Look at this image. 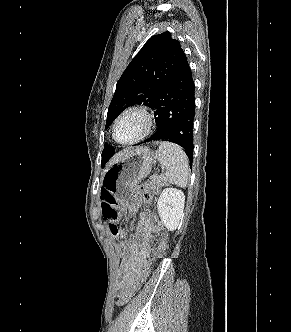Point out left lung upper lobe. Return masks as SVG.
<instances>
[{
	"label": "left lung upper lobe",
	"mask_w": 291,
	"mask_h": 332,
	"mask_svg": "<svg viewBox=\"0 0 291 332\" xmlns=\"http://www.w3.org/2000/svg\"><path fill=\"white\" fill-rule=\"evenodd\" d=\"M184 51L169 32L152 36L129 63L116 85L108 108L106 128L127 107L143 104L152 108L158 95L174 74ZM107 144L101 165L114 154Z\"/></svg>",
	"instance_id": "1"
}]
</instances>
